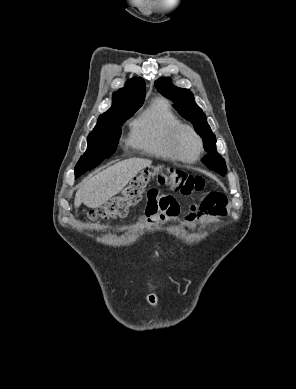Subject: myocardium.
<instances>
[{
	"instance_id": "1",
	"label": "myocardium",
	"mask_w": 296,
	"mask_h": 389,
	"mask_svg": "<svg viewBox=\"0 0 296 389\" xmlns=\"http://www.w3.org/2000/svg\"><path fill=\"white\" fill-rule=\"evenodd\" d=\"M184 132H188L196 140L197 153H196L195 157H193V158H185L180 152L179 140H180L181 135ZM168 145H169L170 152L172 153L174 158H176L177 160L184 162V163L197 162L199 160V158L201 157L203 150H204V143H203V139L200 136V134L197 132V130L193 126L188 125V124H184V123H179L173 127V129L171 130V132L169 134Z\"/></svg>"
}]
</instances>
